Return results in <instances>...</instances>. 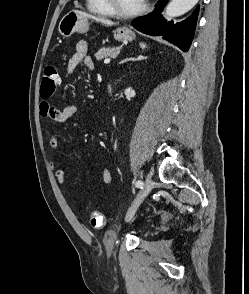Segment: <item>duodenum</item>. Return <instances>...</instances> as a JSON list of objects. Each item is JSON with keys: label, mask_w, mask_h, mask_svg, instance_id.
Segmentation results:
<instances>
[{"label": "duodenum", "mask_w": 249, "mask_h": 294, "mask_svg": "<svg viewBox=\"0 0 249 294\" xmlns=\"http://www.w3.org/2000/svg\"><path fill=\"white\" fill-rule=\"evenodd\" d=\"M107 93H108L109 95L111 94V88H110V87L107 88Z\"/></svg>", "instance_id": "obj_1"}]
</instances>
